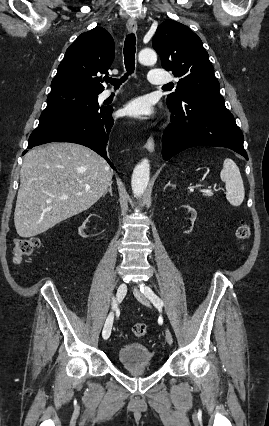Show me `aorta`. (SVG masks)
Instances as JSON below:
<instances>
[{"mask_svg":"<svg viewBox=\"0 0 269 426\" xmlns=\"http://www.w3.org/2000/svg\"><path fill=\"white\" fill-rule=\"evenodd\" d=\"M138 60L143 65H154L157 61V54L153 49H143L139 52ZM150 174V163L148 159H143L133 170L131 187L134 195L144 194Z\"/></svg>","mask_w":269,"mask_h":426,"instance_id":"obj_1","label":"aorta"}]
</instances>
